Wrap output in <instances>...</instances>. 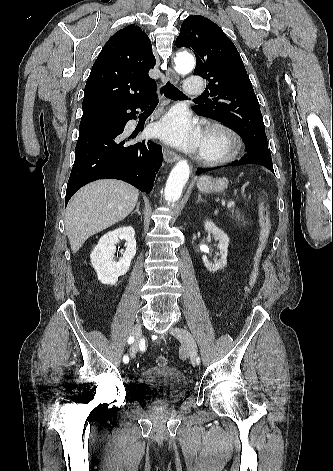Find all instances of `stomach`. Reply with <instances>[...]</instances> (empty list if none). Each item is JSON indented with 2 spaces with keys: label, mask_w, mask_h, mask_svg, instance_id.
Masks as SVG:
<instances>
[{
  "label": "stomach",
  "mask_w": 333,
  "mask_h": 471,
  "mask_svg": "<svg viewBox=\"0 0 333 471\" xmlns=\"http://www.w3.org/2000/svg\"><path fill=\"white\" fill-rule=\"evenodd\" d=\"M227 181L225 179H213L209 176H202L197 181V188L200 192H222L227 188Z\"/></svg>",
  "instance_id": "stomach-1"
}]
</instances>
